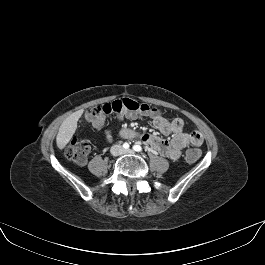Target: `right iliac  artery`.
<instances>
[{"mask_svg": "<svg viewBox=\"0 0 265 265\" xmlns=\"http://www.w3.org/2000/svg\"><path fill=\"white\" fill-rule=\"evenodd\" d=\"M123 147H124L125 149H128V148L130 147V145H129L128 143H124V144H123Z\"/></svg>", "mask_w": 265, "mask_h": 265, "instance_id": "right-iliac-artery-1", "label": "right iliac artery"}]
</instances>
